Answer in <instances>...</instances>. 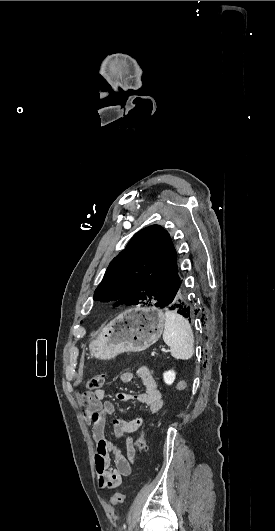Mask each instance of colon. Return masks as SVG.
Returning a JSON list of instances; mask_svg holds the SVG:
<instances>
[{"instance_id":"5ec220e1","label":"colon","mask_w":275,"mask_h":531,"mask_svg":"<svg viewBox=\"0 0 275 531\" xmlns=\"http://www.w3.org/2000/svg\"><path fill=\"white\" fill-rule=\"evenodd\" d=\"M104 380H105L104 373H99L91 377L87 383L88 391L94 392V391L100 390L103 387ZM151 423H153V420H150V422H147L145 426L139 432L140 437L137 439V442H136V447L138 450L139 457L141 456L142 451L144 450L146 446L145 439L148 438L151 433V427H152ZM126 498H127V493L125 491H122V492H118L114 494L111 497L110 502L112 503V505L118 506L122 504L126 500Z\"/></svg>"}]
</instances>
